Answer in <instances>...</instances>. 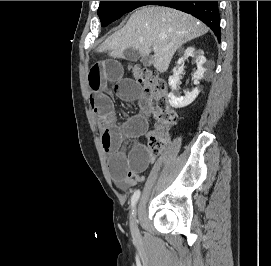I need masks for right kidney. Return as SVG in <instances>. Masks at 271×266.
<instances>
[{
  "label": "right kidney",
  "instance_id": "1",
  "mask_svg": "<svg viewBox=\"0 0 271 266\" xmlns=\"http://www.w3.org/2000/svg\"><path fill=\"white\" fill-rule=\"evenodd\" d=\"M195 57L197 63V70L194 73V83L199 84V81L204 77V73L206 72V68H204V64L206 62V58L198 51H195L194 47H188L181 58L178 60V65L184 63V61L189 57ZM181 71H177L176 68L173 69V75L169 77V85L172 89V92L169 93V103L173 108H183L191 104L199 94L198 88L193 89L191 92L185 94V96H180L177 91V85L180 82V74Z\"/></svg>",
  "mask_w": 271,
  "mask_h": 266
}]
</instances>
